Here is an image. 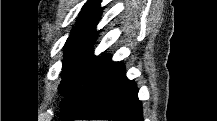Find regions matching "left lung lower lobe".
<instances>
[{
	"mask_svg": "<svg viewBox=\"0 0 217 121\" xmlns=\"http://www.w3.org/2000/svg\"><path fill=\"white\" fill-rule=\"evenodd\" d=\"M76 119L142 121V105L134 81L128 80L122 62L108 60L98 77L87 88Z\"/></svg>",
	"mask_w": 217,
	"mask_h": 121,
	"instance_id": "left-lung-lower-lobe-1",
	"label": "left lung lower lobe"
}]
</instances>
